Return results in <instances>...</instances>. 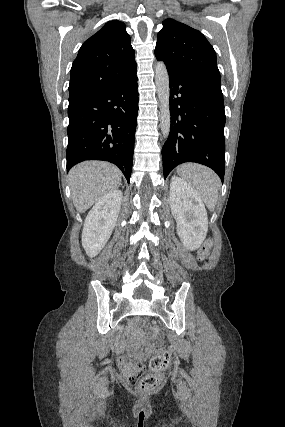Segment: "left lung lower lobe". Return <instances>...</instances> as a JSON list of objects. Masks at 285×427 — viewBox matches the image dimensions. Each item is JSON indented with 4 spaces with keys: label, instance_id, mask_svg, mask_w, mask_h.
<instances>
[{
    "label": "left lung lower lobe",
    "instance_id": "obj_1",
    "mask_svg": "<svg viewBox=\"0 0 285 427\" xmlns=\"http://www.w3.org/2000/svg\"><path fill=\"white\" fill-rule=\"evenodd\" d=\"M171 124L162 148L164 178L179 164L196 162L225 172L221 84L209 78L168 71Z\"/></svg>",
    "mask_w": 285,
    "mask_h": 427
}]
</instances>
